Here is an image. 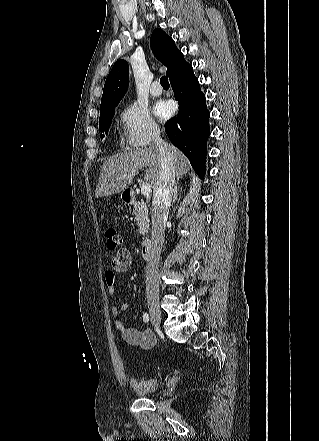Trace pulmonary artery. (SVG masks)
<instances>
[{
  "instance_id": "obj_1",
  "label": "pulmonary artery",
  "mask_w": 319,
  "mask_h": 441,
  "mask_svg": "<svg viewBox=\"0 0 319 441\" xmlns=\"http://www.w3.org/2000/svg\"><path fill=\"white\" fill-rule=\"evenodd\" d=\"M162 88L159 86L158 82H154L150 87V93L153 96H159L162 94Z\"/></svg>"
}]
</instances>
